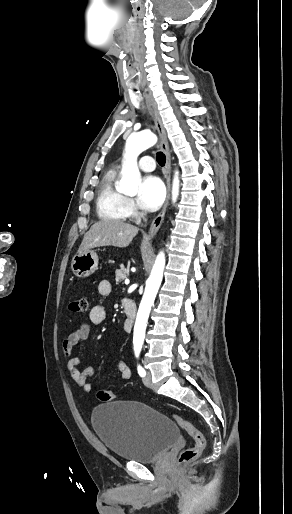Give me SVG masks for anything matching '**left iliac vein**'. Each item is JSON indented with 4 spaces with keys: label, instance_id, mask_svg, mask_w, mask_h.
Instances as JSON below:
<instances>
[{
    "label": "left iliac vein",
    "instance_id": "1",
    "mask_svg": "<svg viewBox=\"0 0 292 514\" xmlns=\"http://www.w3.org/2000/svg\"><path fill=\"white\" fill-rule=\"evenodd\" d=\"M143 383L148 388L152 387V376L150 372H147V374L143 377Z\"/></svg>",
    "mask_w": 292,
    "mask_h": 514
}]
</instances>
